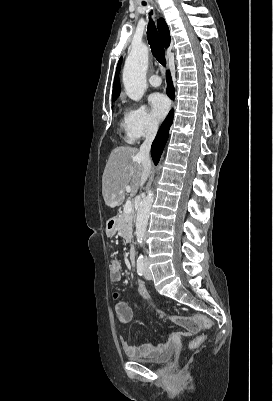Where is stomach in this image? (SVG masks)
I'll return each mask as SVG.
<instances>
[{
  "label": "stomach",
  "mask_w": 273,
  "mask_h": 401,
  "mask_svg": "<svg viewBox=\"0 0 273 401\" xmlns=\"http://www.w3.org/2000/svg\"><path fill=\"white\" fill-rule=\"evenodd\" d=\"M113 233H115V229H109V227H108V229H107L108 237H111V235H113Z\"/></svg>",
  "instance_id": "1"
}]
</instances>
